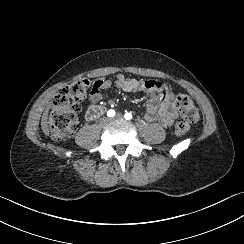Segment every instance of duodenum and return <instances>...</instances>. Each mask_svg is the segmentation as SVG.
Masks as SVG:
<instances>
[{
    "label": "duodenum",
    "instance_id": "duodenum-1",
    "mask_svg": "<svg viewBox=\"0 0 244 244\" xmlns=\"http://www.w3.org/2000/svg\"><path fill=\"white\" fill-rule=\"evenodd\" d=\"M103 111H104V108L103 107L97 106L95 108V110L93 111V114H94L93 119L96 118L98 115H101L103 113Z\"/></svg>",
    "mask_w": 244,
    "mask_h": 244
}]
</instances>
